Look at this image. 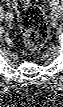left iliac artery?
Returning <instances> with one entry per match:
<instances>
[{"mask_svg": "<svg viewBox=\"0 0 63 107\" xmlns=\"http://www.w3.org/2000/svg\"><path fill=\"white\" fill-rule=\"evenodd\" d=\"M58 3H59L58 0H52L51 5H52V6H56Z\"/></svg>", "mask_w": 63, "mask_h": 107, "instance_id": "44dca946", "label": "left iliac artery"}]
</instances>
